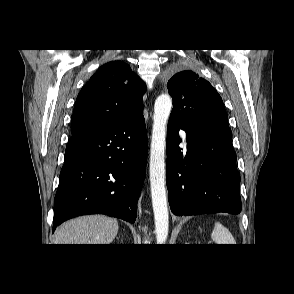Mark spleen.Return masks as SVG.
<instances>
[{"instance_id":"1","label":"spleen","mask_w":294,"mask_h":294,"mask_svg":"<svg viewBox=\"0 0 294 294\" xmlns=\"http://www.w3.org/2000/svg\"><path fill=\"white\" fill-rule=\"evenodd\" d=\"M211 239L216 244H235V240L229 230L219 222H216L214 225Z\"/></svg>"}]
</instances>
